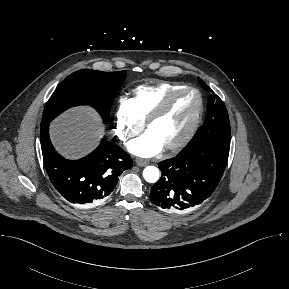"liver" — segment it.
<instances>
[{"label": "liver", "instance_id": "obj_1", "mask_svg": "<svg viewBox=\"0 0 289 289\" xmlns=\"http://www.w3.org/2000/svg\"><path fill=\"white\" fill-rule=\"evenodd\" d=\"M50 132L57 150L72 159L92 151L103 136L98 115L88 107L63 113L51 123Z\"/></svg>", "mask_w": 289, "mask_h": 289}]
</instances>
